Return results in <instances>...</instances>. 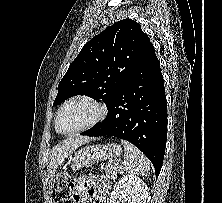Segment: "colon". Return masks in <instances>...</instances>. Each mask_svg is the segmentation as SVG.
Instances as JSON below:
<instances>
[{
	"mask_svg": "<svg viewBox=\"0 0 222 203\" xmlns=\"http://www.w3.org/2000/svg\"><path fill=\"white\" fill-rule=\"evenodd\" d=\"M74 184L65 174H59L54 180L53 197L55 203H72Z\"/></svg>",
	"mask_w": 222,
	"mask_h": 203,
	"instance_id": "1",
	"label": "colon"
}]
</instances>
